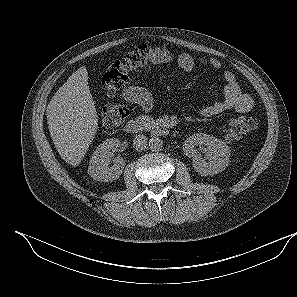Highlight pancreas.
<instances>
[{"mask_svg": "<svg viewBox=\"0 0 297 297\" xmlns=\"http://www.w3.org/2000/svg\"><path fill=\"white\" fill-rule=\"evenodd\" d=\"M138 120L141 122L145 129H150L156 126L155 120L150 116L142 115L138 117Z\"/></svg>", "mask_w": 297, "mask_h": 297, "instance_id": "cf45deb5", "label": "pancreas"}]
</instances>
